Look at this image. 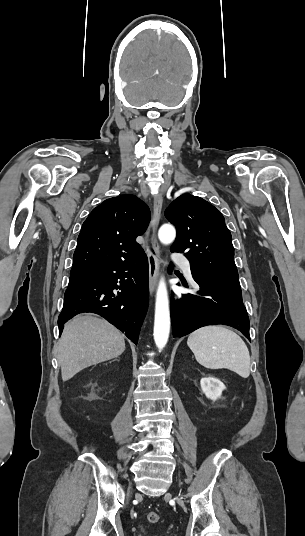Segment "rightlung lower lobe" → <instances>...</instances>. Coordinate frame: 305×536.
<instances>
[{"label": "right lung lower lobe", "mask_w": 305, "mask_h": 536, "mask_svg": "<svg viewBox=\"0 0 305 536\" xmlns=\"http://www.w3.org/2000/svg\"><path fill=\"white\" fill-rule=\"evenodd\" d=\"M119 289L118 292H113ZM148 259L145 253L130 260L70 275L64 306L58 317L64 323L82 312L104 317L137 344L148 308Z\"/></svg>", "instance_id": "obj_1"}]
</instances>
